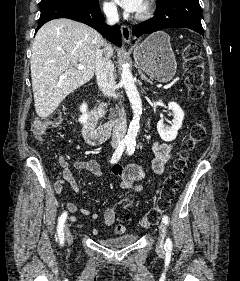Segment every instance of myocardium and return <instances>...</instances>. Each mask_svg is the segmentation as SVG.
Here are the masks:
<instances>
[{
	"label": "myocardium",
	"mask_w": 240,
	"mask_h": 281,
	"mask_svg": "<svg viewBox=\"0 0 240 281\" xmlns=\"http://www.w3.org/2000/svg\"><path fill=\"white\" fill-rule=\"evenodd\" d=\"M153 12V4L151 0H147L144 4V7L140 12L137 13L136 18L139 20L147 19L151 16Z\"/></svg>",
	"instance_id": "obj_1"
}]
</instances>
